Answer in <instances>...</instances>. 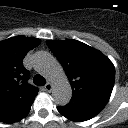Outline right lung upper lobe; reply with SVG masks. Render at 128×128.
Listing matches in <instances>:
<instances>
[{
    "instance_id": "cb5924a9",
    "label": "right lung upper lobe",
    "mask_w": 128,
    "mask_h": 128,
    "mask_svg": "<svg viewBox=\"0 0 128 128\" xmlns=\"http://www.w3.org/2000/svg\"><path fill=\"white\" fill-rule=\"evenodd\" d=\"M39 43L37 38L22 35L0 42V119L37 95L38 89L27 82L29 72L23 66V59Z\"/></svg>"
}]
</instances>
